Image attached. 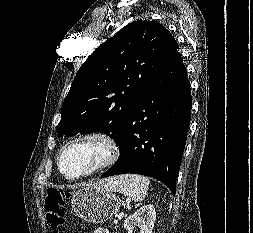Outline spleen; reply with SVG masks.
Here are the masks:
<instances>
[{
  "mask_svg": "<svg viewBox=\"0 0 253 233\" xmlns=\"http://www.w3.org/2000/svg\"><path fill=\"white\" fill-rule=\"evenodd\" d=\"M149 178L137 174H125L109 178L105 188L112 192H120L135 202L142 201L148 191Z\"/></svg>",
  "mask_w": 253,
  "mask_h": 233,
  "instance_id": "spleen-1",
  "label": "spleen"
}]
</instances>
